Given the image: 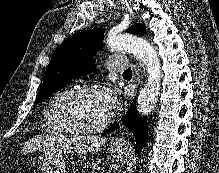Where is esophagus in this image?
Segmentation results:
<instances>
[{"instance_id": "1", "label": "esophagus", "mask_w": 219, "mask_h": 173, "mask_svg": "<svg viewBox=\"0 0 219 173\" xmlns=\"http://www.w3.org/2000/svg\"><path fill=\"white\" fill-rule=\"evenodd\" d=\"M126 142L125 138L123 135L117 136L115 139H113L112 143L114 145H124Z\"/></svg>"}]
</instances>
